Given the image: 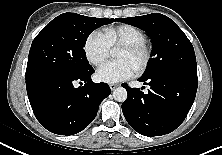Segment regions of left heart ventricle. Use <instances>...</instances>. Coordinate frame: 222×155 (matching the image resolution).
Masks as SVG:
<instances>
[{"mask_svg": "<svg viewBox=\"0 0 222 155\" xmlns=\"http://www.w3.org/2000/svg\"><path fill=\"white\" fill-rule=\"evenodd\" d=\"M116 58L118 61L128 62L129 64L133 66L135 70L142 60V56L140 54H133L123 49H120L118 51Z\"/></svg>", "mask_w": 222, "mask_h": 155, "instance_id": "left-heart-ventricle-1", "label": "left heart ventricle"}]
</instances>
